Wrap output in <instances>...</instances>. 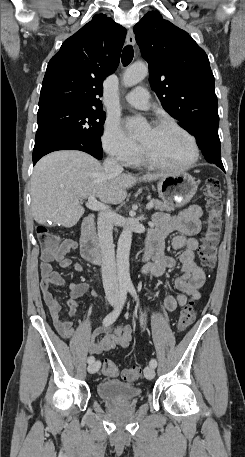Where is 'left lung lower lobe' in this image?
<instances>
[{"label":"left lung lower lobe","instance_id":"left-lung-lower-lobe-1","mask_svg":"<svg viewBox=\"0 0 245 457\" xmlns=\"http://www.w3.org/2000/svg\"><path fill=\"white\" fill-rule=\"evenodd\" d=\"M218 123L208 122L200 125L198 130L189 131L197 140L205 159L209 163L216 164L223 171L224 167L221 161V147L218 136Z\"/></svg>","mask_w":245,"mask_h":457}]
</instances>
